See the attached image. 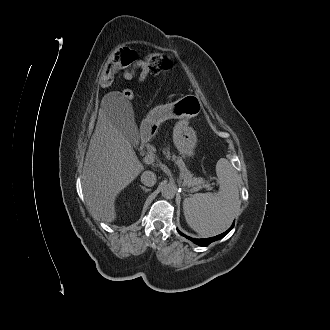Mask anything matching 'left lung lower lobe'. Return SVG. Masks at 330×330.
Listing matches in <instances>:
<instances>
[{"instance_id":"obj_1","label":"left lung lower lobe","mask_w":330,"mask_h":330,"mask_svg":"<svg viewBox=\"0 0 330 330\" xmlns=\"http://www.w3.org/2000/svg\"><path fill=\"white\" fill-rule=\"evenodd\" d=\"M233 227H234V223H233V225L226 232H224V233H222L220 235H217L215 237L206 238V239H194V238H191L189 236L184 235L178 229H177V231L179 232L180 235L188 238L189 240L193 241L197 245L208 246L210 243H212V242H214L216 240H219V239L223 238L224 236H226L232 230Z\"/></svg>"}]
</instances>
